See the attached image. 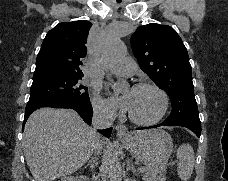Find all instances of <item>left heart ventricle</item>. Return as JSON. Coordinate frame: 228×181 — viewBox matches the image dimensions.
<instances>
[{
    "label": "left heart ventricle",
    "mask_w": 228,
    "mask_h": 181,
    "mask_svg": "<svg viewBox=\"0 0 228 181\" xmlns=\"http://www.w3.org/2000/svg\"><path fill=\"white\" fill-rule=\"evenodd\" d=\"M127 80L123 75L116 78L115 85H119L121 81ZM130 98V112L140 119H148L156 114L158 111L161 100L158 93L151 88H138L133 89L127 85L121 89Z\"/></svg>",
    "instance_id": "1"
}]
</instances>
